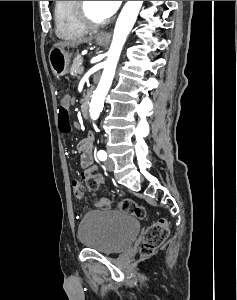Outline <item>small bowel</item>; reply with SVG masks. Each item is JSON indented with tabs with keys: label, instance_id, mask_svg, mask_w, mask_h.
I'll return each mask as SVG.
<instances>
[{
	"label": "small bowel",
	"instance_id": "obj_1",
	"mask_svg": "<svg viewBox=\"0 0 237 300\" xmlns=\"http://www.w3.org/2000/svg\"><path fill=\"white\" fill-rule=\"evenodd\" d=\"M70 98L65 96L62 98L61 103L69 106ZM95 141V135L93 132H90L87 137L80 140L76 146V151L80 155V164L84 168H90L93 164L92 149ZM73 192L80 198L81 191L80 185L77 181L72 182ZM97 207L108 208L110 206V201L108 199H101L96 203Z\"/></svg>",
	"mask_w": 237,
	"mask_h": 300
}]
</instances>
